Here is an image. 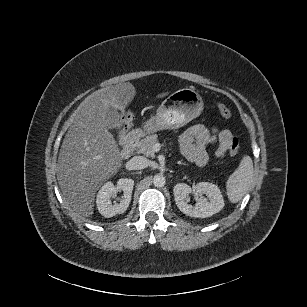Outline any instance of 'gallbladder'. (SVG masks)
Masks as SVG:
<instances>
[{"label": "gallbladder", "instance_id": "obj_1", "mask_svg": "<svg viewBox=\"0 0 307 307\" xmlns=\"http://www.w3.org/2000/svg\"><path fill=\"white\" fill-rule=\"evenodd\" d=\"M106 120L107 124L106 127L109 130H113L116 127V120H117V112L113 107H108L107 108V113H106Z\"/></svg>", "mask_w": 307, "mask_h": 307}]
</instances>
